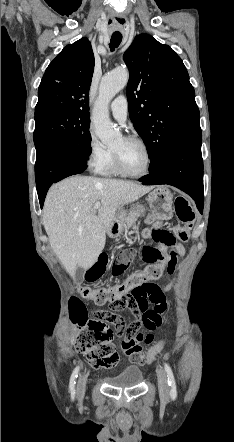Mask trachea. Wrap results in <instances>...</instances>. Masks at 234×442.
Here are the masks:
<instances>
[{
    "instance_id": "1",
    "label": "trachea",
    "mask_w": 234,
    "mask_h": 442,
    "mask_svg": "<svg viewBox=\"0 0 234 442\" xmlns=\"http://www.w3.org/2000/svg\"><path fill=\"white\" fill-rule=\"evenodd\" d=\"M121 41H122V36L112 35L109 44L111 51H114V49L120 45Z\"/></svg>"
}]
</instances>
